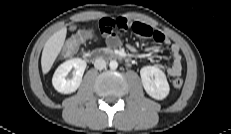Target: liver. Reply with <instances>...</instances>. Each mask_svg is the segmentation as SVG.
Masks as SVG:
<instances>
[{"label": "liver", "instance_id": "obj_1", "mask_svg": "<svg viewBox=\"0 0 231 134\" xmlns=\"http://www.w3.org/2000/svg\"><path fill=\"white\" fill-rule=\"evenodd\" d=\"M67 28L64 27L55 32L45 43L42 56L41 67L44 74L48 73L59 55L66 38Z\"/></svg>", "mask_w": 231, "mask_h": 134}]
</instances>
